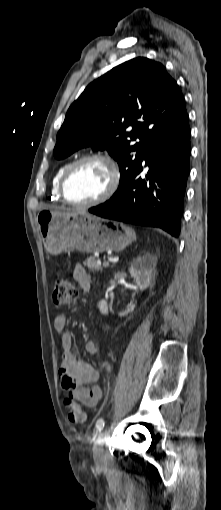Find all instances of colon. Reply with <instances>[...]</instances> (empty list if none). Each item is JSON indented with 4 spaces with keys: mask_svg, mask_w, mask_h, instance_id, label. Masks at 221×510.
<instances>
[{
    "mask_svg": "<svg viewBox=\"0 0 221 510\" xmlns=\"http://www.w3.org/2000/svg\"><path fill=\"white\" fill-rule=\"evenodd\" d=\"M78 297V291L71 279L66 273L60 274L53 287V305L55 308L60 309L71 302L75 301ZM64 404L68 410V417L72 423H83L85 421V412L81 405L76 402L72 397L68 396L64 399Z\"/></svg>",
    "mask_w": 221,
    "mask_h": 510,
    "instance_id": "obj_1",
    "label": "colon"
}]
</instances>
